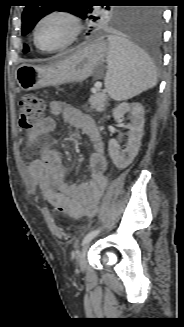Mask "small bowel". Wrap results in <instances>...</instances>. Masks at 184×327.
I'll return each instance as SVG.
<instances>
[{"mask_svg": "<svg viewBox=\"0 0 184 327\" xmlns=\"http://www.w3.org/2000/svg\"><path fill=\"white\" fill-rule=\"evenodd\" d=\"M50 111L52 115L44 118L31 132L30 142L36 143L43 135L54 131L56 129L54 116L63 114L65 121L81 129L92 145L90 179L86 182L68 181L60 154L51 148H43L41 157L31 161L29 176L33 186L52 206H62V213L79 218L87 212L86 208L96 206L107 184L104 142L93 119L65 101L52 100ZM69 163L75 169L80 165V160L70 159Z\"/></svg>", "mask_w": 184, "mask_h": 327, "instance_id": "small-bowel-1", "label": "small bowel"}]
</instances>
